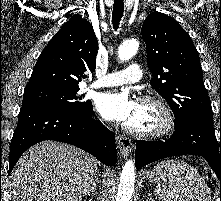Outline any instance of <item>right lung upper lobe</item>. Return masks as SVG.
<instances>
[{
    "label": "right lung upper lobe",
    "mask_w": 221,
    "mask_h": 201,
    "mask_svg": "<svg viewBox=\"0 0 221 201\" xmlns=\"http://www.w3.org/2000/svg\"><path fill=\"white\" fill-rule=\"evenodd\" d=\"M98 40L92 25L76 15L66 22L40 54L26 88H79L96 66Z\"/></svg>",
    "instance_id": "right-lung-upper-lobe-1"
}]
</instances>
